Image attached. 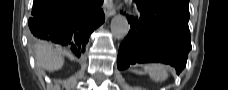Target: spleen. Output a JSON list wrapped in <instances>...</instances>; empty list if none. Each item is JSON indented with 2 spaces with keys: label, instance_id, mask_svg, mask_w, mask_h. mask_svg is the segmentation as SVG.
Returning <instances> with one entry per match:
<instances>
[{
  "label": "spleen",
  "instance_id": "1",
  "mask_svg": "<svg viewBox=\"0 0 228 90\" xmlns=\"http://www.w3.org/2000/svg\"><path fill=\"white\" fill-rule=\"evenodd\" d=\"M145 70L154 81H164L168 77L167 68L163 64H147Z\"/></svg>",
  "mask_w": 228,
  "mask_h": 90
}]
</instances>
